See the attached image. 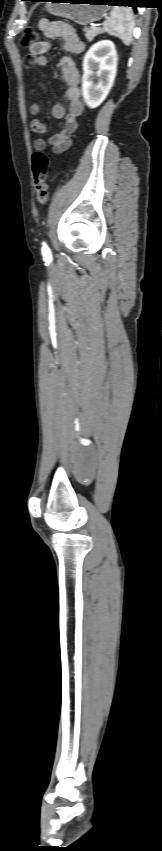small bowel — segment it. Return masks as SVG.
I'll list each match as a JSON object with an SVG mask.
<instances>
[{"instance_id": "small-bowel-1", "label": "small bowel", "mask_w": 162, "mask_h": 851, "mask_svg": "<svg viewBox=\"0 0 162 851\" xmlns=\"http://www.w3.org/2000/svg\"><path fill=\"white\" fill-rule=\"evenodd\" d=\"M38 26L43 32L45 40L38 41L29 47V54L25 58V64L28 67L45 66L48 63L45 54L50 50L52 42L56 39L62 41L63 48L68 52L80 53L83 51L84 44L80 40L76 30L70 24L63 21L41 19ZM60 67L62 78L66 84L64 97L68 105L66 108L63 104L58 103L51 110L54 118L62 120L60 129L47 139L36 138L34 140V148L36 150L41 151L47 146H51L55 154L63 153L70 147L71 136L77 128V118L84 111V104L80 99L79 90L80 74L76 63L72 58L66 56L61 59ZM29 111L32 115H37L40 112L39 103H31ZM31 129L35 133L43 134L47 131V125L42 120L33 119L31 121Z\"/></svg>"}]
</instances>
